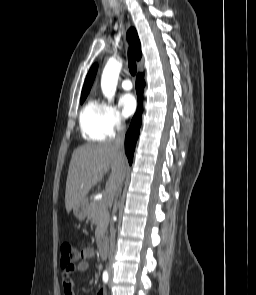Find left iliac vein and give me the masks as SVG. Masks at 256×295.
<instances>
[{
    "mask_svg": "<svg viewBox=\"0 0 256 295\" xmlns=\"http://www.w3.org/2000/svg\"><path fill=\"white\" fill-rule=\"evenodd\" d=\"M109 285H112V276L110 277Z\"/></svg>",
    "mask_w": 256,
    "mask_h": 295,
    "instance_id": "obj_1",
    "label": "left iliac vein"
}]
</instances>
